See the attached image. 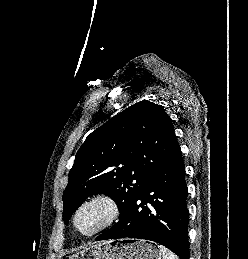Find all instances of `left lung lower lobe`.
Wrapping results in <instances>:
<instances>
[{"instance_id": "obj_1", "label": "left lung lower lobe", "mask_w": 248, "mask_h": 259, "mask_svg": "<svg viewBox=\"0 0 248 259\" xmlns=\"http://www.w3.org/2000/svg\"><path fill=\"white\" fill-rule=\"evenodd\" d=\"M185 165L180 148L151 177L127 211L96 240L138 238L157 242L189 259Z\"/></svg>"}]
</instances>
